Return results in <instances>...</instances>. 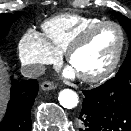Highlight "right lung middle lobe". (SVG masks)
I'll use <instances>...</instances> for the list:
<instances>
[{
	"mask_svg": "<svg viewBox=\"0 0 131 131\" xmlns=\"http://www.w3.org/2000/svg\"><path fill=\"white\" fill-rule=\"evenodd\" d=\"M21 15L22 12L0 14V38L6 36L12 23H14Z\"/></svg>",
	"mask_w": 131,
	"mask_h": 131,
	"instance_id": "right-lung-middle-lobe-1",
	"label": "right lung middle lobe"
}]
</instances>
